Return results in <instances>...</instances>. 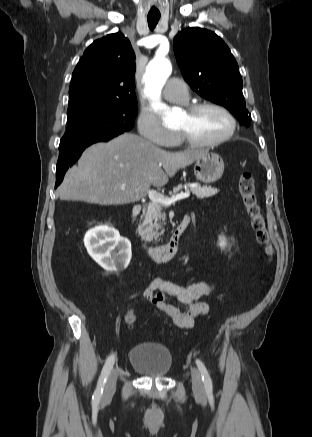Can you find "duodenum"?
Instances as JSON below:
<instances>
[{
	"mask_svg": "<svg viewBox=\"0 0 312 437\" xmlns=\"http://www.w3.org/2000/svg\"><path fill=\"white\" fill-rule=\"evenodd\" d=\"M142 206L136 204L130 213L129 223L130 226L133 224L134 220L140 214ZM190 217L186 215L177 225L175 231L173 232L170 240L163 245H150L140 240L135 236L139 246L146 252L148 257L157 263H163L169 261L178 251L182 236L184 235L187 227L190 224Z\"/></svg>",
	"mask_w": 312,
	"mask_h": 437,
	"instance_id": "1",
	"label": "duodenum"
}]
</instances>
